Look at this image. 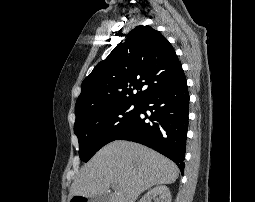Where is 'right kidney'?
I'll use <instances>...</instances> for the list:
<instances>
[{
    "label": "right kidney",
    "mask_w": 255,
    "mask_h": 202,
    "mask_svg": "<svg viewBox=\"0 0 255 202\" xmlns=\"http://www.w3.org/2000/svg\"><path fill=\"white\" fill-rule=\"evenodd\" d=\"M171 202V193L167 186L159 185L148 191L139 202Z\"/></svg>",
    "instance_id": "1"
}]
</instances>
